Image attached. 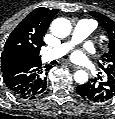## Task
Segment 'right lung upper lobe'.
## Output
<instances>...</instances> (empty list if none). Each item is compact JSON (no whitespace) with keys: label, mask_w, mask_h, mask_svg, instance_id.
<instances>
[{"label":"right lung upper lobe","mask_w":115,"mask_h":119,"mask_svg":"<svg viewBox=\"0 0 115 119\" xmlns=\"http://www.w3.org/2000/svg\"><path fill=\"white\" fill-rule=\"evenodd\" d=\"M58 9L49 10L40 7L28 14L9 35L1 55L2 72L40 61L42 36L47 31L52 18Z\"/></svg>","instance_id":"obj_1"}]
</instances>
